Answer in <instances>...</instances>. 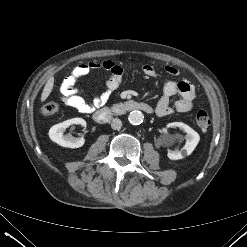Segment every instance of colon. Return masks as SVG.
Wrapping results in <instances>:
<instances>
[{"label": "colon", "instance_id": "1", "mask_svg": "<svg viewBox=\"0 0 247 247\" xmlns=\"http://www.w3.org/2000/svg\"><path fill=\"white\" fill-rule=\"evenodd\" d=\"M58 111H59V106L57 103H55L53 101H49V102L45 103L42 107V114L45 117H52L55 114H57ZM195 123H196V126L200 130L205 131L211 125V118L206 111L199 110L195 114Z\"/></svg>", "mask_w": 247, "mask_h": 247}]
</instances>
